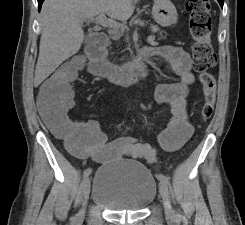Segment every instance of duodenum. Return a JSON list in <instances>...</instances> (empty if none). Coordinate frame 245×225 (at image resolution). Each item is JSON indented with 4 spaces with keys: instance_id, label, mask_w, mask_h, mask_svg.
<instances>
[{
    "instance_id": "410a0bca",
    "label": "duodenum",
    "mask_w": 245,
    "mask_h": 225,
    "mask_svg": "<svg viewBox=\"0 0 245 225\" xmlns=\"http://www.w3.org/2000/svg\"><path fill=\"white\" fill-rule=\"evenodd\" d=\"M107 42V35L102 33L86 46L90 73L96 76L107 77L121 84H130L139 75H144L147 72L151 59L150 52H144L124 65L113 64L105 59Z\"/></svg>"
}]
</instances>
